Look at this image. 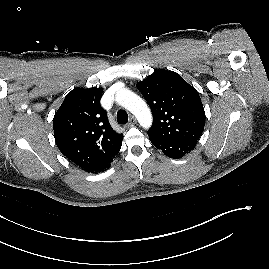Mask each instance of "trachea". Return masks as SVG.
I'll use <instances>...</instances> for the list:
<instances>
[{"label":"trachea","instance_id":"3493384b","mask_svg":"<svg viewBox=\"0 0 269 269\" xmlns=\"http://www.w3.org/2000/svg\"><path fill=\"white\" fill-rule=\"evenodd\" d=\"M117 122L119 124H125L128 122V114L124 110H119L117 112Z\"/></svg>","mask_w":269,"mask_h":269}]
</instances>
